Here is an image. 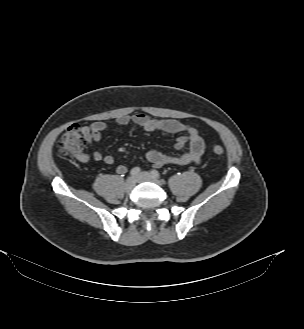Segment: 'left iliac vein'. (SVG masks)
<instances>
[{
	"label": "left iliac vein",
	"instance_id": "4c4485c4",
	"mask_svg": "<svg viewBox=\"0 0 304 329\" xmlns=\"http://www.w3.org/2000/svg\"><path fill=\"white\" fill-rule=\"evenodd\" d=\"M136 180L138 182H144V181H149V182H153L156 184H160V182L157 180V178H155L151 173L149 172H141L140 174H138L136 176Z\"/></svg>",
	"mask_w": 304,
	"mask_h": 329
}]
</instances>
